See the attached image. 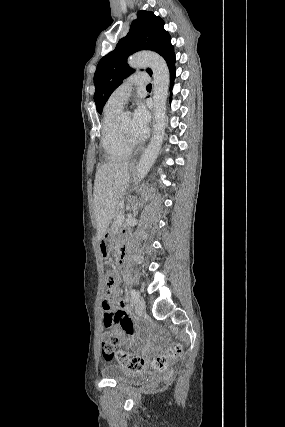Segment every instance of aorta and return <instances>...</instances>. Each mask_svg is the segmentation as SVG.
Segmentation results:
<instances>
[{
    "instance_id": "obj_1",
    "label": "aorta",
    "mask_w": 285,
    "mask_h": 427,
    "mask_svg": "<svg viewBox=\"0 0 285 427\" xmlns=\"http://www.w3.org/2000/svg\"><path fill=\"white\" fill-rule=\"evenodd\" d=\"M131 68L149 67L153 72L154 132L138 165L135 183L140 182L155 162L161 149L166 127V101L170 82L169 69L165 60L153 52H138L128 59Z\"/></svg>"
}]
</instances>
